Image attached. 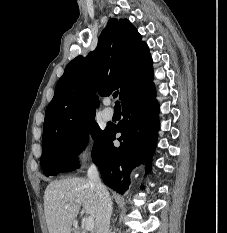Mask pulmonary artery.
Listing matches in <instances>:
<instances>
[{"label":"pulmonary artery","instance_id":"pulmonary-artery-1","mask_svg":"<svg viewBox=\"0 0 227 233\" xmlns=\"http://www.w3.org/2000/svg\"><path fill=\"white\" fill-rule=\"evenodd\" d=\"M105 104L106 105H109L110 104V101L109 100H106L105 101ZM103 118L107 121L111 120L113 118V115H114V112L113 110L110 108V107H106L104 110H103Z\"/></svg>","mask_w":227,"mask_h":233}]
</instances>
